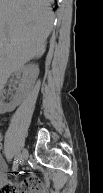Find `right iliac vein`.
Returning a JSON list of instances; mask_svg holds the SVG:
<instances>
[{
  "mask_svg": "<svg viewBox=\"0 0 103 193\" xmlns=\"http://www.w3.org/2000/svg\"><path fill=\"white\" fill-rule=\"evenodd\" d=\"M28 159V151L25 149L23 150L22 154H21V159H20V163L23 165L25 164V162Z\"/></svg>",
  "mask_w": 103,
  "mask_h": 193,
  "instance_id": "obj_1",
  "label": "right iliac vein"
}]
</instances>
